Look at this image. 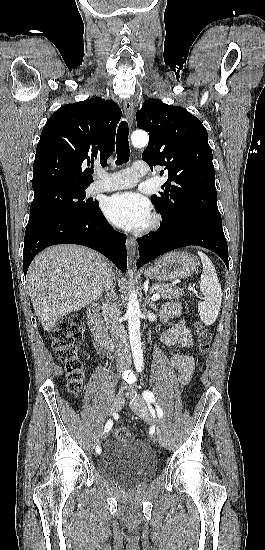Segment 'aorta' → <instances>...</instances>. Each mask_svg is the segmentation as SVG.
I'll return each mask as SVG.
<instances>
[{"instance_id": "aorta-1", "label": "aorta", "mask_w": 265, "mask_h": 550, "mask_svg": "<svg viewBox=\"0 0 265 550\" xmlns=\"http://www.w3.org/2000/svg\"><path fill=\"white\" fill-rule=\"evenodd\" d=\"M131 141L134 147H144L149 142V136L146 132L137 131L131 136ZM128 318V331L131 351L133 355L134 365L138 371L143 367V354L141 347L140 336V307L137 299V294L134 290H130L129 302L126 312Z\"/></svg>"}]
</instances>
